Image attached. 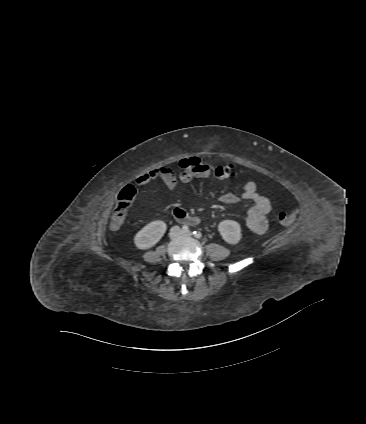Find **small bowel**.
<instances>
[{"label":"small bowel","instance_id":"c3829d8e","mask_svg":"<svg viewBox=\"0 0 366 424\" xmlns=\"http://www.w3.org/2000/svg\"><path fill=\"white\" fill-rule=\"evenodd\" d=\"M157 178L162 179L167 187L171 190L175 189L177 186L176 178L174 177L171 170L167 168H160L141 175L137 178L136 183L139 185H144ZM243 200L251 201L253 203L247 213V228L256 234L264 233L268 228L267 216L271 211V204L268 198L257 192V186L253 180H248L244 184L240 196H237L233 193H226L220 198L221 203L225 205H235Z\"/></svg>","mask_w":366,"mask_h":424}]
</instances>
